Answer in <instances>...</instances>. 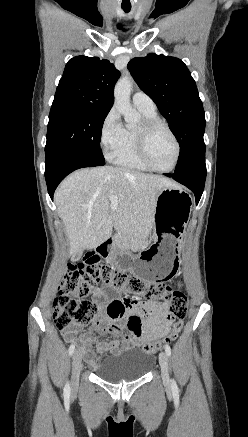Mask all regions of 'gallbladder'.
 Segmentation results:
<instances>
[{
    "mask_svg": "<svg viewBox=\"0 0 248 437\" xmlns=\"http://www.w3.org/2000/svg\"><path fill=\"white\" fill-rule=\"evenodd\" d=\"M82 255V251H79L78 253H76L75 255H73L72 259L74 261L78 260Z\"/></svg>",
    "mask_w": 248,
    "mask_h": 437,
    "instance_id": "gallbladder-1",
    "label": "gallbladder"
}]
</instances>
